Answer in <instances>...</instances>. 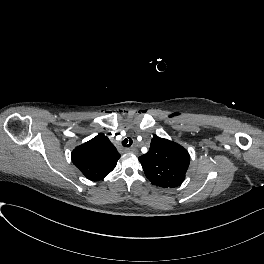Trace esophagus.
<instances>
[{"label": "esophagus", "mask_w": 264, "mask_h": 264, "mask_svg": "<svg viewBox=\"0 0 264 264\" xmlns=\"http://www.w3.org/2000/svg\"><path fill=\"white\" fill-rule=\"evenodd\" d=\"M136 148L135 147H131V148H127L126 151L127 152H136Z\"/></svg>", "instance_id": "1"}]
</instances>
